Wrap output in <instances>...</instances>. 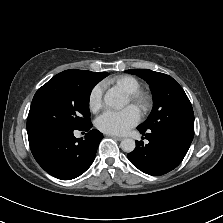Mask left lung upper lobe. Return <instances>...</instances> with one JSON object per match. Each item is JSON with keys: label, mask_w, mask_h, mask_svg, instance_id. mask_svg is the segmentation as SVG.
I'll return each instance as SVG.
<instances>
[{"label": "left lung upper lobe", "mask_w": 223, "mask_h": 223, "mask_svg": "<svg viewBox=\"0 0 223 223\" xmlns=\"http://www.w3.org/2000/svg\"><path fill=\"white\" fill-rule=\"evenodd\" d=\"M149 84L153 95V109L138 127L143 130L171 129L194 135V113L182 87L169 75L148 69H130Z\"/></svg>", "instance_id": "left-lung-upper-lobe-1"}]
</instances>
